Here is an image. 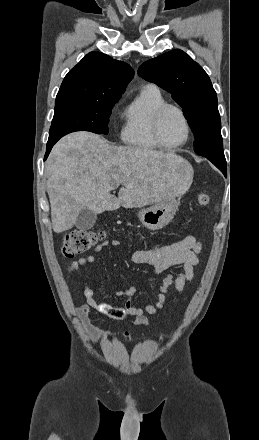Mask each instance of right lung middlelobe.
Instances as JSON below:
<instances>
[{"label": "right lung middle lobe", "mask_w": 259, "mask_h": 440, "mask_svg": "<svg viewBox=\"0 0 259 440\" xmlns=\"http://www.w3.org/2000/svg\"><path fill=\"white\" fill-rule=\"evenodd\" d=\"M118 100L56 97L48 141L59 140L74 131L108 134L107 125L111 109Z\"/></svg>", "instance_id": "1"}]
</instances>
